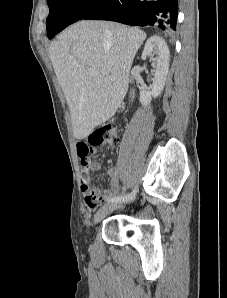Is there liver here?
Masks as SVG:
<instances>
[{
  "mask_svg": "<svg viewBox=\"0 0 227 298\" xmlns=\"http://www.w3.org/2000/svg\"><path fill=\"white\" fill-rule=\"evenodd\" d=\"M146 33L109 21H79L49 46L67 100L74 137L82 140L112 118L129 83L133 59ZM90 70L98 72L93 76Z\"/></svg>",
  "mask_w": 227,
  "mask_h": 298,
  "instance_id": "1",
  "label": "liver"
}]
</instances>
